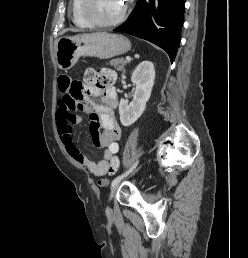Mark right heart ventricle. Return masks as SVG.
I'll use <instances>...</instances> for the list:
<instances>
[{
    "label": "right heart ventricle",
    "mask_w": 248,
    "mask_h": 258,
    "mask_svg": "<svg viewBox=\"0 0 248 258\" xmlns=\"http://www.w3.org/2000/svg\"><path fill=\"white\" fill-rule=\"evenodd\" d=\"M81 0H72L71 2V15L72 21L79 27H89L90 25L84 19L80 9Z\"/></svg>",
    "instance_id": "e07e8e85"
}]
</instances>
